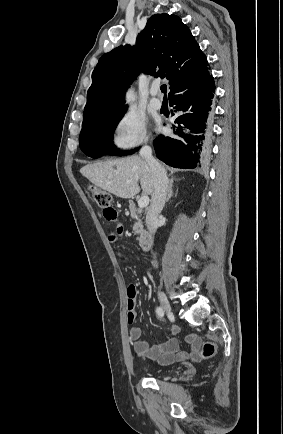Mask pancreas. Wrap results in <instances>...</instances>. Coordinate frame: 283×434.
<instances>
[{"mask_svg":"<svg viewBox=\"0 0 283 434\" xmlns=\"http://www.w3.org/2000/svg\"><path fill=\"white\" fill-rule=\"evenodd\" d=\"M131 215H136L140 213V209H136L134 206L130 208ZM134 234H140L141 237L145 234V230L143 228V223L141 221L135 222L133 226Z\"/></svg>","mask_w":283,"mask_h":434,"instance_id":"cf45deb5","label":"pancreas"}]
</instances>
